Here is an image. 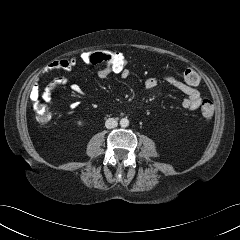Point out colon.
Instances as JSON below:
<instances>
[{
    "instance_id": "5ec220e1",
    "label": "colon",
    "mask_w": 240,
    "mask_h": 240,
    "mask_svg": "<svg viewBox=\"0 0 240 240\" xmlns=\"http://www.w3.org/2000/svg\"><path fill=\"white\" fill-rule=\"evenodd\" d=\"M86 65L98 67H107L114 72L128 71L131 61L124 54L109 50L87 51L83 52L80 57ZM183 82L190 86L199 84L200 77L198 73L191 68L183 72ZM36 120L39 123H47L51 118V113L48 107L41 101H35L32 106ZM200 111L205 119H210L213 115V104L210 100H203Z\"/></svg>"
}]
</instances>
